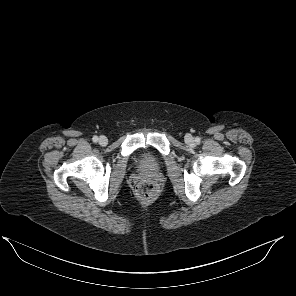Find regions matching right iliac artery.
Masks as SVG:
<instances>
[{"label":"right iliac artery","instance_id":"obj_1","mask_svg":"<svg viewBox=\"0 0 296 296\" xmlns=\"http://www.w3.org/2000/svg\"><path fill=\"white\" fill-rule=\"evenodd\" d=\"M92 140H93V142H97V141H98V137H97V136H94V137L92 138Z\"/></svg>","mask_w":296,"mask_h":296}]
</instances>
